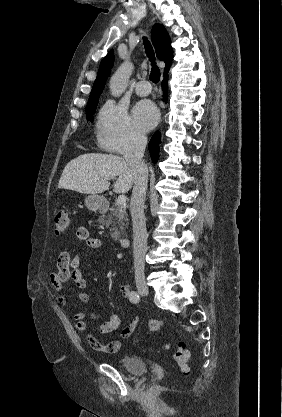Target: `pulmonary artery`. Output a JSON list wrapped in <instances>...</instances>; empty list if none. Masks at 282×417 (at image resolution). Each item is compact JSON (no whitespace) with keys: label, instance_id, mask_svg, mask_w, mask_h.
Segmentation results:
<instances>
[{"label":"pulmonary artery","instance_id":"1","mask_svg":"<svg viewBox=\"0 0 282 417\" xmlns=\"http://www.w3.org/2000/svg\"><path fill=\"white\" fill-rule=\"evenodd\" d=\"M135 92L139 96H147L151 92V86L146 80L140 81L135 87Z\"/></svg>","mask_w":282,"mask_h":417}]
</instances>
